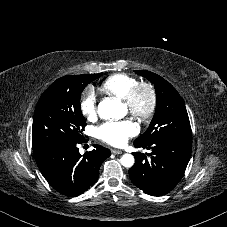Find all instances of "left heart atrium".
Wrapping results in <instances>:
<instances>
[{
	"mask_svg": "<svg viewBox=\"0 0 227 227\" xmlns=\"http://www.w3.org/2000/svg\"><path fill=\"white\" fill-rule=\"evenodd\" d=\"M136 133V128L128 121L107 122L97 129V135L102 141L117 147L125 145Z\"/></svg>",
	"mask_w": 227,
	"mask_h": 227,
	"instance_id": "1",
	"label": "left heart atrium"
}]
</instances>
